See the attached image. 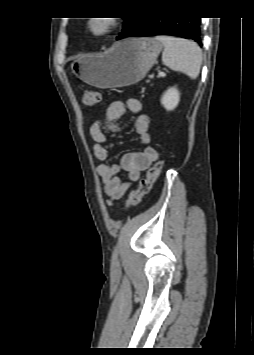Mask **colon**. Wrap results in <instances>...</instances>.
<instances>
[{
    "label": "colon",
    "mask_w": 254,
    "mask_h": 355,
    "mask_svg": "<svg viewBox=\"0 0 254 355\" xmlns=\"http://www.w3.org/2000/svg\"><path fill=\"white\" fill-rule=\"evenodd\" d=\"M101 101V95L95 90L85 89L82 93V103L85 107L91 108ZM164 166V160H158L147 172L146 177L139 181L137 189L133 190L125 203V209H131L141 203L158 179Z\"/></svg>",
    "instance_id": "1"
}]
</instances>
